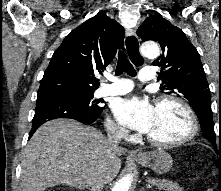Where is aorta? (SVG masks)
Returning <instances> with one entry per match:
<instances>
[{"instance_id": "1", "label": "aorta", "mask_w": 221, "mask_h": 191, "mask_svg": "<svg viewBox=\"0 0 221 191\" xmlns=\"http://www.w3.org/2000/svg\"><path fill=\"white\" fill-rule=\"evenodd\" d=\"M141 52L145 57L156 58L160 54V48L155 42H146L142 45ZM132 180V174L123 176L120 180L116 182V184L112 188V191H129Z\"/></svg>"}]
</instances>
